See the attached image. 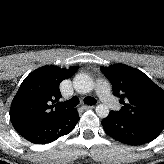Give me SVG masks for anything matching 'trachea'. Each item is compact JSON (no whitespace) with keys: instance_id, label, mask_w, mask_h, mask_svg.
Wrapping results in <instances>:
<instances>
[{"instance_id":"trachea-1","label":"trachea","mask_w":164,"mask_h":164,"mask_svg":"<svg viewBox=\"0 0 164 164\" xmlns=\"http://www.w3.org/2000/svg\"><path fill=\"white\" fill-rule=\"evenodd\" d=\"M83 102L84 104H87V105H93L95 103V100L92 97H85ZM78 104H79V99L78 97L74 96L69 100V102L67 103V106L75 107Z\"/></svg>"}]
</instances>
